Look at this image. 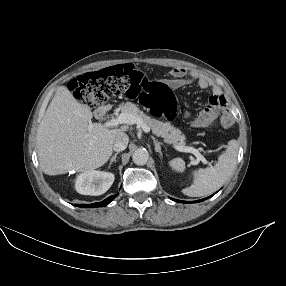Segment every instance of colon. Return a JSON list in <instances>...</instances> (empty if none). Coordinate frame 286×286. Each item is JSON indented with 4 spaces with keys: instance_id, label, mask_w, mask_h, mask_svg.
I'll use <instances>...</instances> for the list:
<instances>
[{
    "instance_id": "5ec220e1",
    "label": "colon",
    "mask_w": 286,
    "mask_h": 286,
    "mask_svg": "<svg viewBox=\"0 0 286 286\" xmlns=\"http://www.w3.org/2000/svg\"><path fill=\"white\" fill-rule=\"evenodd\" d=\"M71 90L78 100L94 108L106 103L110 98L125 95L137 97L156 117L168 120L176 118V100L170 86L164 82L148 79L143 72L129 64L108 67L103 70L85 73L71 81ZM228 125L222 114L198 115L194 126L212 128Z\"/></svg>"
}]
</instances>
